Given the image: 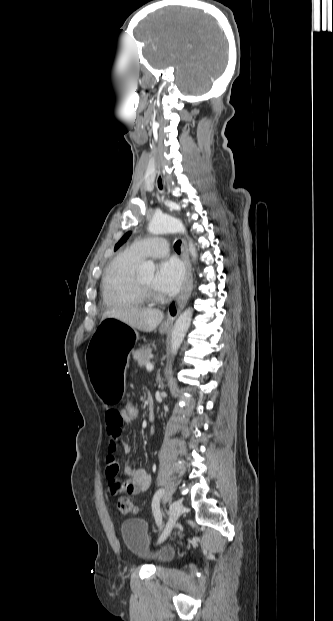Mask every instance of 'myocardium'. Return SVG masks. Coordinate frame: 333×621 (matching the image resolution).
<instances>
[{
  "label": "myocardium",
  "mask_w": 333,
  "mask_h": 621,
  "mask_svg": "<svg viewBox=\"0 0 333 621\" xmlns=\"http://www.w3.org/2000/svg\"><path fill=\"white\" fill-rule=\"evenodd\" d=\"M135 285H136V288H137L138 292L141 294V296L146 301L157 302V301H161L163 299V296L160 293H157V292L153 291L152 289H150L149 287H147L144 284H142L139 281L138 277H135Z\"/></svg>",
  "instance_id": "f54148a6"
}]
</instances>
